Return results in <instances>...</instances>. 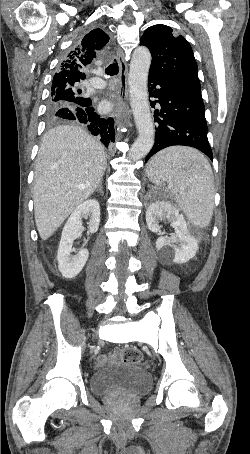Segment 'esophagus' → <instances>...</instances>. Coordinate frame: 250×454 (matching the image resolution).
I'll return each mask as SVG.
<instances>
[{"label":"esophagus","instance_id":"34e87169","mask_svg":"<svg viewBox=\"0 0 250 454\" xmlns=\"http://www.w3.org/2000/svg\"><path fill=\"white\" fill-rule=\"evenodd\" d=\"M117 60L119 63V73L116 85V100L114 116L117 120L121 118L127 119L130 114V110L127 104L128 100V65L124 59V52L121 48L117 50Z\"/></svg>","mask_w":250,"mask_h":454}]
</instances>
